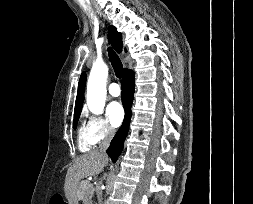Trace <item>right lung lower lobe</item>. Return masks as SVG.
<instances>
[{
  "instance_id": "right-lung-lower-lobe-1",
  "label": "right lung lower lobe",
  "mask_w": 253,
  "mask_h": 204,
  "mask_svg": "<svg viewBox=\"0 0 253 204\" xmlns=\"http://www.w3.org/2000/svg\"><path fill=\"white\" fill-rule=\"evenodd\" d=\"M134 72L132 70H126L123 74V80L121 82L122 87V103L125 110V118L122 126L111 141L107 154L116 162L118 156L123 149V143L128 132L129 122L131 118V106L134 95Z\"/></svg>"
}]
</instances>
